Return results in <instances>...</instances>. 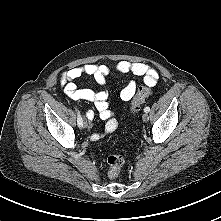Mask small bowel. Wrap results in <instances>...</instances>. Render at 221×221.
<instances>
[{"mask_svg": "<svg viewBox=\"0 0 221 221\" xmlns=\"http://www.w3.org/2000/svg\"><path fill=\"white\" fill-rule=\"evenodd\" d=\"M125 73H131L142 77L144 83L148 86L155 85L158 80V73L155 69L142 62H130L126 60L119 61L113 69L97 62L87 63L82 66L69 68L60 76L59 84L65 94L73 100L92 102L98 111L100 118L106 122L103 132H97L92 135L91 138L93 141L101 140L106 134L115 131L118 127V123L114 118V113L107 101V91L79 88L75 81L83 75H91L98 84L104 85L110 75ZM135 91L136 82L131 80L121 90L120 99L122 101H129L134 96ZM94 115L95 113L93 110H88L85 113L88 121H91L94 118Z\"/></svg>", "mask_w": 221, "mask_h": 221, "instance_id": "c3829d8e", "label": "small bowel"}]
</instances>
